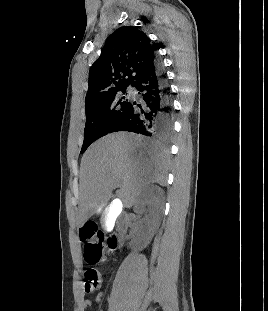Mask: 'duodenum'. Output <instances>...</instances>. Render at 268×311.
<instances>
[{
    "label": "duodenum",
    "mask_w": 268,
    "mask_h": 311,
    "mask_svg": "<svg viewBox=\"0 0 268 311\" xmlns=\"http://www.w3.org/2000/svg\"><path fill=\"white\" fill-rule=\"evenodd\" d=\"M126 229L127 222L122 218H118L116 222V231L114 232V234H111L107 239V246L109 250L114 251L119 247L126 232Z\"/></svg>",
    "instance_id": "410a0bca"
}]
</instances>
